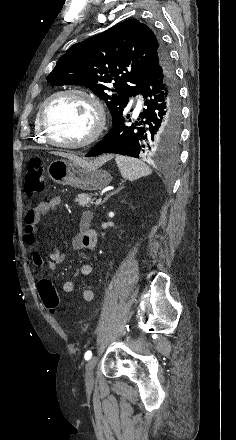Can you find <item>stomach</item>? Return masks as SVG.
<instances>
[{"instance_id": "obj_1", "label": "stomach", "mask_w": 236, "mask_h": 440, "mask_svg": "<svg viewBox=\"0 0 236 440\" xmlns=\"http://www.w3.org/2000/svg\"><path fill=\"white\" fill-rule=\"evenodd\" d=\"M49 177L57 184L70 185L82 190H98L112 180L106 170L81 165L71 159H57L48 166Z\"/></svg>"}]
</instances>
